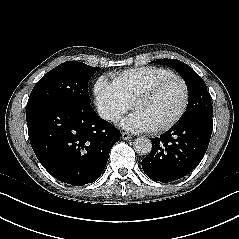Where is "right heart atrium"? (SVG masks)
Instances as JSON below:
<instances>
[{
    "label": "right heart atrium",
    "instance_id": "obj_1",
    "mask_svg": "<svg viewBox=\"0 0 239 239\" xmlns=\"http://www.w3.org/2000/svg\"><path fill=\"white\" fill-rule=\"evenodd\" d=\"M94 103L101 118L113 123L117 122L129 108L128 102L112 82L103 76L94 85Z\"/></svg>",
    "mask_w": 239,
    "mask_h": 239
}]
</instances>
